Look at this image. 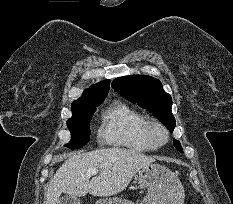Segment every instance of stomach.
Masks as SVG:
<instances>
[{
	"mask_svg": "<svg viewBox=\"0 0 233 204\" xmlns=\"http://www.w3.org/2000/svg\"><path fill=\"white\" fill-rule=\"evenodd\" d=\"M136 180L147 189L141 204H183L185 193L178 177L166 167L149 164L138 171ZM98 204H134L122 199H103Z\"/></svg>",
	"mask_w": 233,
	"mask_h": 204,
	"instance_id": "0dacf381",
	"label": "stomach"
}]
</instances>
